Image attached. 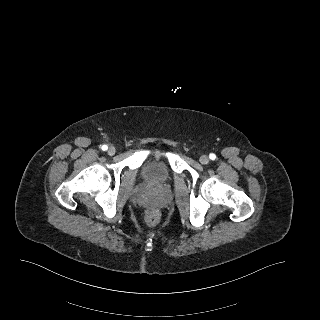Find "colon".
Masks as SVG:
<instances>
[{"label":"colon","mask_w":320,"mask_h":320,"mask_svg":"<svg viewBox=\"0 0 320 320\" xmlns=\"http://www.w3.org/2000/svg\"><path fill=\"white\" fill-rule=\"evenodd\" d=\"M160 220V211L156 208H151L145 213V221L148 225H154Z\"/></svg>","instance_id":"1"}]
</instances>
